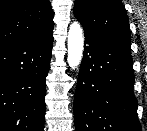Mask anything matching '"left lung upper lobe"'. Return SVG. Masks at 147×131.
Masks as SVG:
<instances>
[{"instance_id": "obj_1", "label": "left lung upper lobe", "mask_w": 147, "mask_h": 131, "mask_svg": "<svg viewBox=\"0 0 147 131\" xmlns=\"http://www.w3.org/2000/svg\"><path fill=\"white\" fill-rule=\"evenodd\" d=\"M74 16L86 34L130 52L128 16L120 0H75Z\"/></svg>"}]
</instances>
